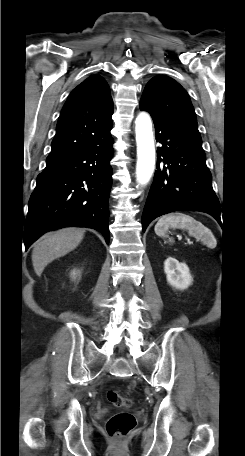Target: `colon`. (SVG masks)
<instances>
[{"mask_svg": "<svg viewBox=\"0 0 245 456\" xmlns=\"http://www.w3.org/2000/svg\"><path fill=\"white\" fill-rule=\"evenodd\" d=\"M108 401L116 407L128 408L131 406V399L123 396L117 390H109ZM136 425V419L130 412H118L111 416L106 423V431L110 437L122 438L126 436Z\"/></svg>", "mask_w": 245, "mask_h": 456, "instance_id": "obj_1", "label": "colon"}]
</instances>
